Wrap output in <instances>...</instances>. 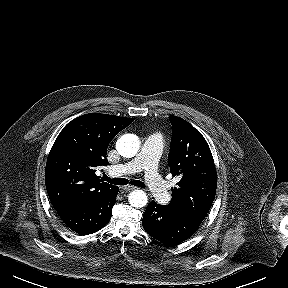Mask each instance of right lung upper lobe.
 Wrapping results in <instances>:
<instances>
[{
  "instance_id": "right-lung-upper-lobe-1",
  "label": "right lung upper lobe",
  "mask_w": 288,
  "mask_h": 288,
  "mask_svg": "<svg viewBox=\"0 0 288 288\" xmlns=\"http://www.w3.org/2000/svg\"><path fill=\"white\" fill-rule=\"evenodd\" d=\"M108 114L89 113L69 122L47 159L45 184L55 210L93 200L116 186L103 182L96 169L108 165L107 147L133 122Z\"/></svg>"
}]
</instances>
